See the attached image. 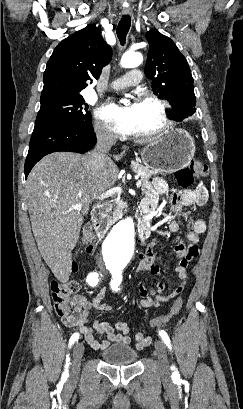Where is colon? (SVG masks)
<instances>
[{"instance_id": "colon-1", "label": "colon", "mask_w": 243, "mask_h": 409, "mask_svg": "<svg viewBox=\"0 0 243 409\" xmlns=\"http://www.w3.org/2000/svg\"><path fill=\"white\" fill-rule=\"evenodd\" d=\"M208 173L207 166L201 161H193L188 166L180 169L175 177L180 187L186 188L190 186L195 178L205 177ZM95 242L94 235L90 230L86 231L82 239L83 249L90 253ZM79 264L74 262L72 269L77 271ZM79 290V284L76 281H68L64 283L53 282L51 285L52 299L55 310L62 321L67 325H75L81 316V308L74 299V294ZM183 307V300L177 298L169 312L158 318L150 321V326L159 328L166 325L170 319L176 316Z\"/></svg>"}]
</instances>
